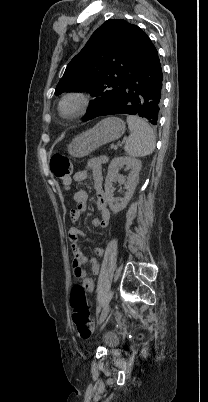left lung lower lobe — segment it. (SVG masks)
I'll return each instance as SVG.
<instances>
[{"label":"left lung lower lobe","mask_w":208,"mask_h":402,"mask_svg":"<svg viewBox=\"0 0 208 402\" xmlns=\"http://www.w3.org/2000/svg\"><path fill=\"white\" fill-rule=\"evenodd\" d=\"M130 41L134 45V68L120 85L115 100L97 116L136 115L157 125L163 97V73L158 52L149 37L136 25Z\"/></svg>","instance_id":"obj_1"}]
</instances>
